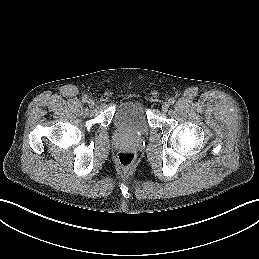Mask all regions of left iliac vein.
I'll list each match as a JSON object with an SVG mask.
<instances>
[{
    "label": "left iliac vein",
    "mask_w": 259,
    "mask_h": 259,
    "mask_svg": "<svg viewBox=\"0 0 259 259\" xmlns=\"http://www.w3.org/2000/svg\"><path fill=\"white\" fill-rule=\"evenodd\" d=\"M169 109V103L168 102H164L162 105V111L163 112H167Z\"/></svg>",
    "instance_id": "1"
}]
</instances>
